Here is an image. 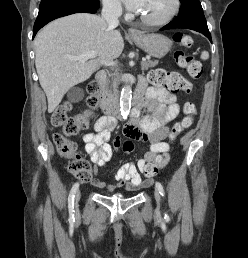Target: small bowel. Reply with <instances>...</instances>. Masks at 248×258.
Instances as JSON below:
<instances>
[{
  "label": "small bowel",
  "instance_id": "c3829d8e",
  "mask_svg": "<svg viewBox=\"0 0 248 258\" xmlns=\"http://www.w3.org/2000/svg\"><path fill=\"white\" fill-rule=\"evenodd\" d=\"M141 83L145 85V80L141 79ZM143 111L148 112V114L142 115ZM178 113L179 105L172 92L157 85L147 88L144 97L140 100L139 109L125 125L124 132L128 138L137 143H147L148 150L136 164L124 163L116 171V185L106 184L99 180H95L93 185L109 192L114 191L117 187L138 190L152 185L154 180L146 179L143 181L141 173L156 159H160L159 169L167 164L170 145L165 139L170 131L169 124ZM115 126L116 121L113 118L102 116L94 123V132L86 133L83 136L85 150L97 167L104 166L112 156L109 139Z\"/></svg>",
  "mask_w": 248,
  "mask_h": 258
}]
</instances>
